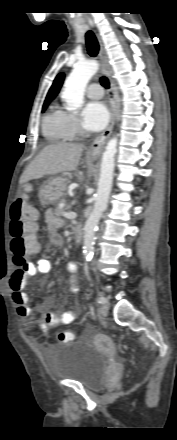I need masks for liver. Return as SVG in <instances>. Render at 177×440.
Listing matches in <instances>:
<instances>
[{
	"mask_svg": "<svg viewBox=\"0 0 177 440\" xmlns=\"http://www.w3.org/2000/svg\"><path fill=\"white\" fill-rule=\"evenodd\" d=\"M83 148V145L75 143L46 146L25 169L20 184L45 175L74 171L79 164Z\"/></svg>",
	"mask_w": 177,
	"mask_h": 440,
	"instance_id": "1",
	"label": "liver"
}]
</instances>
